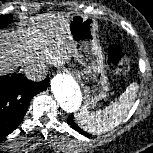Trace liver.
<instances>
[{
    "label": "liver",
    "mask_w": 153,
    "mask_h": 153,
    "mask_svg": "<svg viewBox=\"0 0 153 153\" xmlns=\"http://www.w3.org/2000/svg\"><path fill=\"white\" fill-rule=\"evenodd\" d=\"M37 25L19 30L18 34L0 35V75L15 69L21 63L32 64L39 60L64 64L72 55L69 36V20L60 19L48 25L38 24L41 16L35 17ZM58 22V24H57ZM48 29V30H47Z\"/></svg>",
    "instance_id": "6515ba94"
}]
</instances>
